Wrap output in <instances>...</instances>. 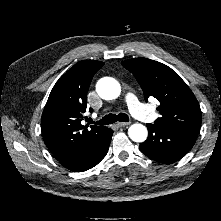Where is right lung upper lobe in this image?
<instances>
[{"instance_id": "right-lung-upper-lobe-1", "label": "right lung upper lobe", "mask_w": 221, "mask_h": 221, "mask_svg": "<svg viewBox=\"0 0 221 221\" xmlns=\"http://www.w3.org/2000/svg\"><path fill=\"white\" fill-rule=\"evenodd\" d=\"M104 65L83 60L69 69L53 87L45 105L41 128L44 141L63 164L96 144L106 133L104 126H83L87 92L94 74Z\"/></svg>"}]
</instances>
